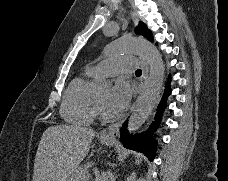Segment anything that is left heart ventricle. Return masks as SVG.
I'll use <instances>...</instances> for the list:
<instances>
[{
    "instance_id": "left-heart-ventricle-1",
    "label": "left heart ventricle",
    "mask_w": 228,
    "mask_h": 181,
    "mask_svg": "<svg viewBox=\"0 0 228 181\" xmlns=\"http://www.w3.org/2000/svg\"><path fill=\"white\" fill-rule=\"evenodd\" d=\"M102 79H109L110 80V87L108 89L102 91L99 94L101 101H103L106 98L107 94L111 91L112 87L115 84L114 81H113V79H112V77H110V76H108V77H101L98 80H102Z\"/></svg>"
}]
</instances>
